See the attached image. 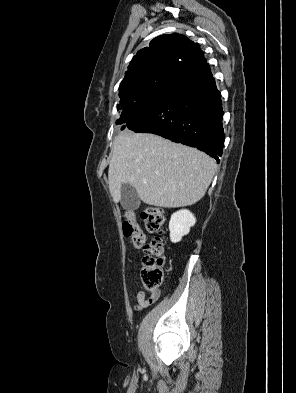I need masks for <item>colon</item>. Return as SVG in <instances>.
Here are the masks:
<instances>
[{"mask_svg":"<svg viewBox=\"0 0 296 393\" xmlns=\"http://www.w3.org/2000/svg\"><path fill=\"white\" fill-rule=\"evenodd\" d=\"M142 218L149 232L157 235L162 234L165 212L161 207H146L142 212ZM122 230L124 236L129 238L137 249H142L145 252L142 260L143 265L140 270V279L150 296L156 295L165 279L163 247L161 242L159 239L151 243L145 242V236L133 212L126 213Z\"/></svg>","mask_w":296,"mask_h":393,"instance_id":"1","label":"colon"}]
</instances>
